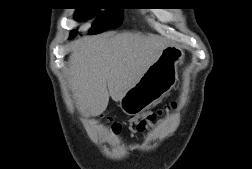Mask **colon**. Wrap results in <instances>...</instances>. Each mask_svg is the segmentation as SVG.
I'll list each match as a JSON object with an SVG mask.
<instances>
[{
    "instance_id": "5ec220e1",
    "label": "colon",
    "mask_w": 252,
    "mask_h": 169,
    "mask_svg": "<svg viewBox=\"0 0 252 169\" xmlns=\"http://www.w3.org/2000/svg\"><path fill=\"white\" fill-rule=\"evenodd\" d=\"M175 107V103H171L169 104L168 106H166V108L164 110H169V109H172ZM164 110H161V111H158V112H155V113H152L151 115H149L147 117V119L141 121L138 126H137V130L138 132H142L145 130V128L147 127L148 123H151V122H154L157 117L164 111ZM111 129L114 133H117L119 132L120 130V127L118 124H112L111 125Z\"/></svg>"
}]
</instances>
